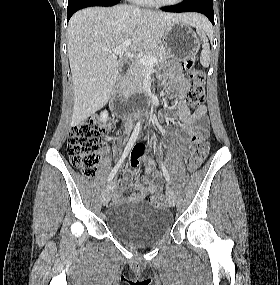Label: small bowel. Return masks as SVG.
<instances>
[{"mask_svg":"<svg viewBox=\"0 0 280 285\" xmlns=\"http://www.w3.org/2000/svg\"><path fill=\"white\" fill-rule=\"evenodd\" d=\"M164 81H168L171 85V96L174 101V106L178 111L179 118L182 122L181 127H175L174 136L179 142L181 149L186 150L189 144V136L194 134H208V121L206 119V107L205 105L199 106L196 110L191 111L185 101L183 96L187 89L189 88V81L184 76L179 74V69H173V76L171 78L165 77ZM143 148L142 144H137L134 149L140 150ZM143 159L146 162V171L150 172L145 178V184L136 181L133 184L135 192L130 196L133 201H139L145 199L151 194L157 193L162 184L161 174L155 169V159L151 154H146ZM140 165V160L134 161L130 158L129 169L126 175L123 177L122 181L116 186L113 198L116 202L125 201L124 192L127 188V183L131 180V177Z\"/></svg>","mask_w":280,"mask_h":285,"instance_id":"c3829d8e","label":"small bowel"}]
</instances>
